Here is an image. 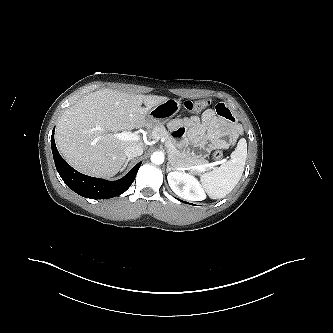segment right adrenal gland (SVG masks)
Instances as JSON below:
<instances>
[{
    "mask_svg": "<svg viewBox=\"0 0 333 333\" xmlns=\"http://www.w3.org/2000/svg\"><path fill=\"white\" fill-rule=\"evenodd\" d=\"M132 159H133L132 157L131 158H127L126 161H125V163H124V165H123V167H122V169H124L127 166V164L129 163V161L132 160Z\"/></svg>",
    "mask_w": 333,
    "mask_h": 333,
    "instance_id": "obj_1",
    "label": "right adrenal gland"
}]
</instances>
